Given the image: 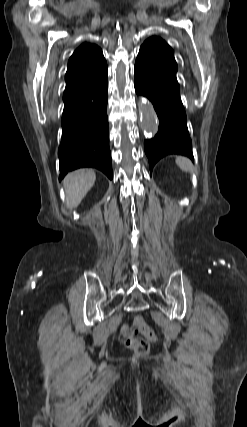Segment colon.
I'll return each mask as SVG.
<instances>
[{"label":"colon","instance_id":"5ec220e1","mask_svg":"<svg viewBox=\"0 0 247 427\" xmlns=\"http://www.w3.org/2000/svg\"><path fill=\"white\" fill-rule=\"evenodd\" d=\"M134 333H140L144 339L137 338L131 334L125 340V345L137 352L140 355L148 354L150 350V342H154L157 338L155 331L150 328L141 316L135 317L133 321Z\"/></svg>","mask_w":247,"mask_h":427}]
</instances>
